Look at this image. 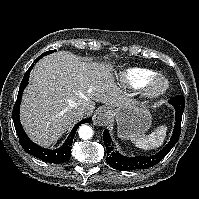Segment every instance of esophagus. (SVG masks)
Here are the masks:
<instances>
[{
    "label": "esophagus",
    "mask_w": 199,
    "mask_h": 199,
    "mask_svg": "<svg viewBox=\"0 0 199 199\" xmlns=\"http://www.w3.org/2000/svg\"><path fill=\"white\" fill-rule=\"evenodd\" d=\"M111 117H112V113L110 110L100 109L95 113L93 122L97 126H104V125L108 124Z\"/></svg>",
    "instance_id": "esophagus-1"
}]
</instances>
